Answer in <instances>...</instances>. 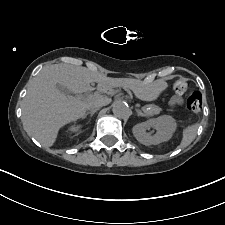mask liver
Wrapping results in <instances>:
<instances>
[{
  "instance_id": "1",
  "label": "liver",
  "mask_w": 225,
  "mask_h": 225,
  "mask_svg": "<svg viewBox=\"0 0 225 225\" xmlns=\"http://www.w3.org/2000/svg\"><path fill=\"white\" fill-rule=\"evenodd\" d=\"M98 89L105 92L118 85L117 80L91 72L85 67L68 64H54L44 67L28 83L27 94L23 99L22 123L29 136L34 137L44 147H51L64 125L83 118L89 106L102 96H87L84 99L66 96L57 89L63 85L72 93L81 94ZM147 90L137 89L136 96L146 100ZM106 105L110 99L104 97Z\"/></svg>"
}]
</instances>
